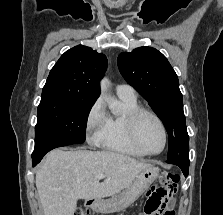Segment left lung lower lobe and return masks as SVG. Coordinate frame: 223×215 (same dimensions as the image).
Here are the masks:
<instances>
[{"label":"left lung lower lobe","instance_id":"1","mask_svg":"<svg viewBox=\"0 0 223 215\" xmlns=\"http://www.w3.org/2000/svg\"><path fill=\"white\" fill-rule=\"evenodd\" d=\"M166 162L179 166L181 168L184 176L185 177L188 176L189 163H190L189 161H177V160L168 159Z\"/></svg>","mask_w":223,"mask_h":215}]
</instances>
